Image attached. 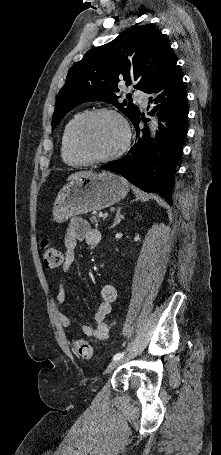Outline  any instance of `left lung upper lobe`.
<instances>
[{
  "instance_id": "left-lung-upper-lobe-1",
  "label": "left lung upper lobe",
  "mask_w": 221,
  "mask_h": 455,
  "mask_svg": "<svg viewBox=\"0 0 221 455\" xmlns=\"http://www.w3.org/2000/svg\"><path fill=\"white\" fill-rule=\"evenodd\" d=\"M169 41L154 26H136L113 41L89 50L68 72L55 104L52 129L67 112L88 101H104L116 106L131 121L140 113L126 100L118 102L117 85L133 82L135 89L148 92L176 64ZM131 100V95H127Z\"/></svg>"
}]
</instances>
